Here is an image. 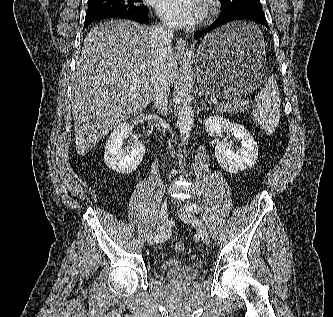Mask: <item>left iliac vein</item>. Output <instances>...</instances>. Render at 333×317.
<instances>
[{"mask_svg": "<svg viewBox=\"0 0 333 317\" xmlns=\"http://www.w3.org/2000/svg\"><path fill=\"white\" fill-rule=\"evenodd\" d=\"M193 205L192 203H187L184 210L178 211V215L182 221L193 226L201 236L203 242L208 245L210 243L209 233L204 223L194 214Z\"/></svg>", "mask_w": 333, "mask_h": 317, "instance_id": "obj_1", "label": "left iliac vein"}]
</instances>
